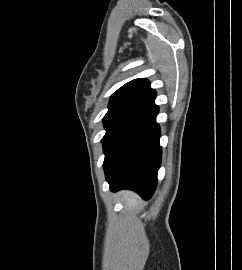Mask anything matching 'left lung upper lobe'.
<instances>
[{
  "label": "left lung upper lobe",
  "instance_id": "obj_1",
  "mask_svg": "<svg viewBox=\"0 0 242 270\" xmlns=\"http://www.w3.org/2000/svg\"><path fill=\"white\" fill-rule=\"evenodd\" d=\"M154 92L155 90L150 87V83L146 79H135L119 88L112 95L109 110L103 118L106 129L105 136L121 118L149 98Z\"/></svg>",
  "mask_w": 242,
  "mask_h": 270
}]
</instances>
